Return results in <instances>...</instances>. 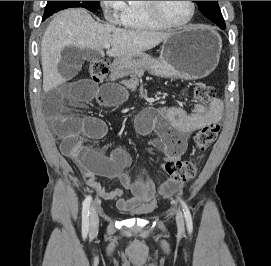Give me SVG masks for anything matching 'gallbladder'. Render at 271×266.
I'll use <instances>...</instances> for the list:
<instances>
[{
	"label": "gallbladder",
	"mask_w": 271,
	"mask_h": 266,
	"mask_svg": "<svg viewBox=\"0 0 271 266\" xmlns=\"http://www.w3.org/2000/svg\"><path fill=\"white\" fill-rule=\"evenodd\" d=\"M99 57L100 54L96 51L89 49L80 50L76 46H67L61 52L58 71L65 79H71L81 70L85 60L90 61Z\"/></svg>",
	"instance_id": "1"
}]
</instances>
